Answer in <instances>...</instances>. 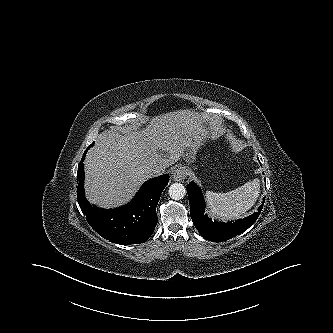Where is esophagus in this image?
<instances>
[{
	"label": "esophagus",
	"instance_id": "1",
	"mask_svg": "<svg viewBox=\"0 0 333 333\" xmlns=\"http://www.w3.org/2000/svg\"><path fill=\"white\" fill-rule=\"evenodd\" d=\"M187 176V171L184 167H177L172 172V177L175 181H183Z\"/></svg>",
	"mask_w": 333,
	"mask_h": 333
}]
</instances>
